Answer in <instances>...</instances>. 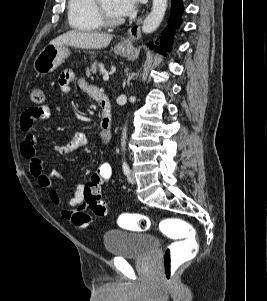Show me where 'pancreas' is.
<instances>
[{"label": "pancreas", "instance_id": "pancreas-1", "mask_svg": "<svg viewBox=\"0 0 267 301\" xmlns=\"http://www.w3.org/2000/svg\"><path fill=\"white\" fill-rule=\"evenodd\" d=\"M105 71L106 69L103 63L94 62L90 67L86 68V75L93 80L98 72L103 74Z\"/></svg>", "mask_w": 267, "mask_h": 301}]
</instances>
